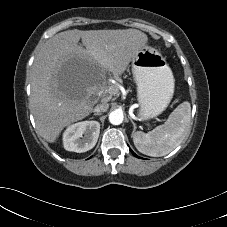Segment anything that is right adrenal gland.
Returning a JSON list of instances; mask_svg holds the SVG:
<instances>
[{
  "mask_svg": "<svg viewBox=\"0 0 227 227\" xmlns=\"http://www.w3.org/2000/svg\"><path fill=\"white\" fill-rule=\"evenodd\" d=\"M94 115H101V113H94Z\"/></svg>",
  "mask_w": 227,
  "mask_h": 227,
  "instance_id": "right-adrenal-gland-1",
  "label": "right adrenal gland"
}]
</instances>
